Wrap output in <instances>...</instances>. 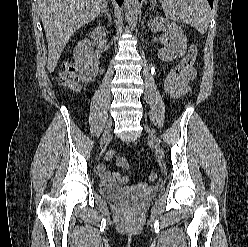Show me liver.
<instances>
[{
	"mask_svg": "<svg viewBox=\"0 0 248 247\" xmlns=\"http://www.w3.org/2000/svg\"><path fill=\"white\" fill-rule=\"evenodd\" d=\"M108 0H38L48 43L47 69L55 70L70 37L94 20Z\"/></svg>",
	"mask_w": 248,
	"mask_h": 247,
	"instance_id": "6515ba94",
	"label": "liver"
}]
</instances>
